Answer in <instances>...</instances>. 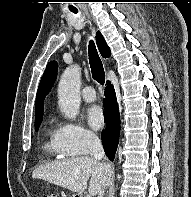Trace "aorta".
I'll return each instance as SVG.
<instances>
[{
	"label": "aorta",
	"instance_id": "obj_1",
	"mask_svg": "<svg viewBox=\"0 0 191 197\" xmlns=\"http://www.w3.org/2000/svg\"><path fill=\"white\" fill-rule=\"evenodd\" d=\"M81 70L72 65L63 72L58 85V105L68 119H75L80 107Z\"/></svg>",
	"mask_w": 191,
	"mask_h": 197
}]
</instances>
